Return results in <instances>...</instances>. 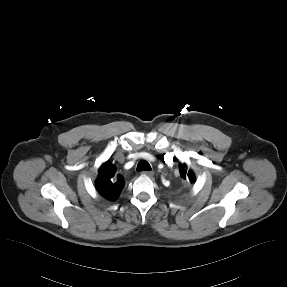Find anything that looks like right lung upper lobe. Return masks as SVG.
Wrapping results in <instances>:
<instances>
[{
  "mask_svg": "<svg viewBox=\"0 0 287 287\" xmlns=\"http://www.w3.org/2000/svg\"><path fill=\"white\" fill-rule=\"evenodd\" d=\"M115 171V166L107 161L99 168L95 181L98 193L108 200L117 199L124 187L122 176H115Z\"/></svg>",
  "mask_w": 287,
  "mask_h": 287,
  "instance_id": "1",
  "label": "right lung upper lobe"
}]
</instances>
